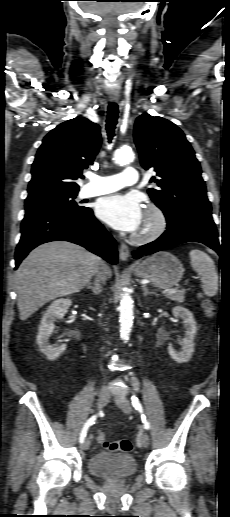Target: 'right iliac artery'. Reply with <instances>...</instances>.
Instances as JSON below:
<instances>
[{"label":"right iliac artery","instance_id":"1","mask_svg":"<svg viewBox=\"0 0 230 517\" xmlns=\"http://www.w3.org/2000/svg\"><path fill=\"white\" fill-rule=\"evenodd\" d=\"M97 419V415H93L91 418H89L86 423L84 424L83 428H82V431L80 433V438H79V441L80 443H83L84 442V439L87 435V431H88V428L95 423Z\"/></svg>","mask_w":230,"mask_h":517}]
</instances>
